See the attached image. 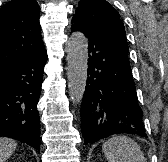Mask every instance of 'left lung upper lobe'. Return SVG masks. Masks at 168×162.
Returning <instances> with one entry per match:
<instances>
[{"mask_svg": "<svg viewBox=\"0 0 168 162\" xmlns=\"http://www.w3.org/2000/svg\"><path fill=\"white\" fill-rule=\"evenodd\" d=\"M73 23L84 24L109 42L128 51L119 13L106 0H80Z\"/></svg>", "mask_w": 168, "mask_h": 162, "instance_id": "left-lung-upper-lobe-1", "label": "left lung upper lobe"}]
</instances>
